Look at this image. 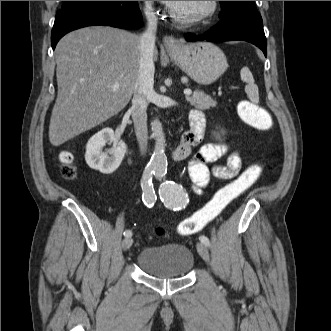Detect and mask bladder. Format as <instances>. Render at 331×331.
I'll use <instances>...</instances> for the list:
<instances>
[{
	"instance_id": "obj_1",
	"label": "bladder",
	"mask_w": 331,
	"mask_h": 331,
	"mask_svg": "<svg viewBox=\"0 0 331 331\" xmlns=\"http://www.w3.org/2000/svg\"><path fill=\"white\" fill-rule=\"evenodd\" d=\"M137 265L152 278L177 279L191 272L194 267V256L182 243L152 245L138 254Z\"/></svg>"
}]
</instances>
